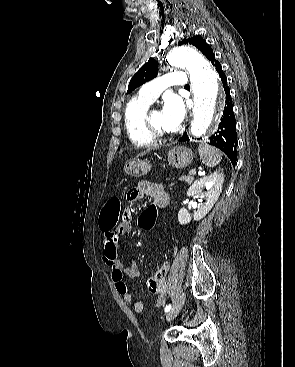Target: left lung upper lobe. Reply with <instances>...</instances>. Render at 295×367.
I'll return each mask as SVG.
<instances>
[{
    "label": "left lung upper lobe",
    "instance_id": "obj_1",
    "mask_svg": "<svg viewBox=\"0 0 295 367\" xmlns=\"http://www.w3.org/2000/svg\"><path fill=\"white\" fill-rule=\"evenodd\" d=\"M190 44L198 48L209 61L215 59L212 48L200 35L185 38L178 42V45ZM158 73V63L153 58L149 59L132 77L127 93H131L134 89L153 79Z\"/></svg>",
    "mask_w": 295,
    "mask_h": 367
}]
</instances>
